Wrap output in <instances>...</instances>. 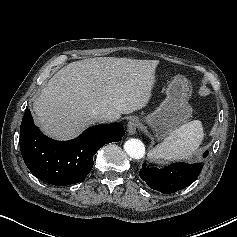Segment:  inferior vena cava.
Listing matches in <instances>:
<instances>
[{"instance_id": "obj_1", "label": "inferior vena cava", "mask_w": 237, "mask_h": 237, "mask_svg": "<svg viewBox=\"0 0 237 237\" xmlns=\"http://www.w3.org/2000/svg\"><path fill=\"white\" fill-rule=\"evenodd\" d=\"M94 118L97 122L100 123L113 122L118 119L116 114L110 112L95 113Z\"/></svg>"}]
</instances>
